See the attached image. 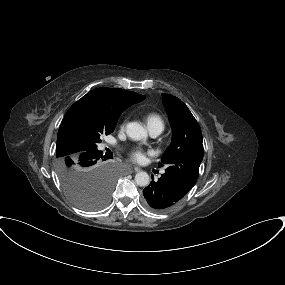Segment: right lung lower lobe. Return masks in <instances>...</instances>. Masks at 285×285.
I'll use <instances>...</instances> for the list:
<instances>
[{"label": "right lung lower lobe", "instance_id": "98d812e1", "mask_svg": "<svg viewBox=\"0 0 285 285\" xmlns=\"http://www.w3.org/2000/svg\"><path fill=\"white\" fill-rule=\"evenodd\" d=\"M81 163L86 167L90 168L95 171L106 170L103 169L102 162L105 161L104 157L102 156V152L99 150L91 151L87 150L80 154L79 156Z\"/></svg>", "mask_w": 285, "mask_h": 285}]
</instances>
